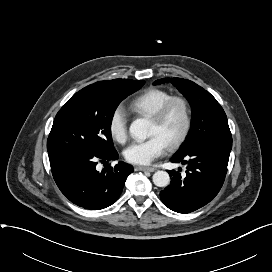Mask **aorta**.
<instances>
[{
	"label": "aorta",
	"mask_w": 272,
	"mask_h": 272,
	"mask_svg": "<svg viewBox=\"0 0 272 272\" xmlns=\"http://www.w3.org/2000/svg\"><path fill=\"white\" fill-rule=\"evenodd\" d=\"M151 123L147 119L138 118L134 120L129 128L133 138L143 141L149 135ZM153 183L158 187H166L170 183V176L166 171H157L153 174Z\"/></svg>",
	"instance_id": "obj_1"
}]
</instances>
